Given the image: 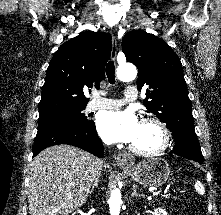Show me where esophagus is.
Listing matches in <instances>:
<instances>
[{
  "instance_id": "1",
  "label": "esophagus",
  "mask_w": 221,
  "mask_h": 215,
  "mask_svg": "<svg viewBox=\"0 0 221 215\" xmlns=\"http://www.w3.org/2000/svg\"><path fill=\"white\" fill-rule=\"evenodd\" d=\"M117 50H118V43L116 38L113 36L112 38V49H111V59L116 61L117 58ZM117 164L122 168H129L134 164V157L127 153H119L116 156Z\"/></svg>"
}]
</instances>
